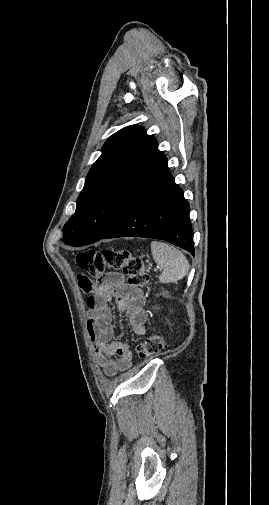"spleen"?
I'll return each instance as SVG.
<instances>
[{
  "instance_id": "1",
  "label": "spleen",
  "mask_w": 269,
  "mask_h": 505,
  "mask_svg": "<svg viewBox=\"0 0 269 505\" xmlns=\"http://www.w3.org/2000/svg\"><path fill=\"white\" fill-rule=\"evenodd\" d=\"M151 251L154 261L162 270L160 282L176 283L186 276L189 262L180 250L161 241H152Z\"/></svg>"
}]
</instances>
